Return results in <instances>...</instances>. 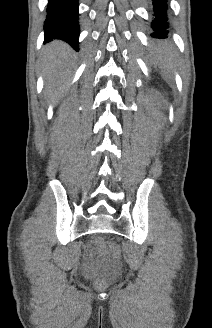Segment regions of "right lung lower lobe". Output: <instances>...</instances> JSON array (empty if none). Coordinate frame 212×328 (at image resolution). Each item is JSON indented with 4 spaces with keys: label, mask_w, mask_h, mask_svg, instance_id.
<instances>
[{
    "label": "right lung lower lobe",
    "mask_w": 212,
    "mask_h": 328,
    "mask_svg": "<svg viewBox=\"0 0 212 328\" xmlns=\"http://www.w3.org/2000/svg\"><path fill=\"white\" fill-rule=\"evenodd\" d=\"M78 0H48L45 42L62 39L78 51Z\"/></svg>",
    "instance_id": "1"
}]
</instances>
